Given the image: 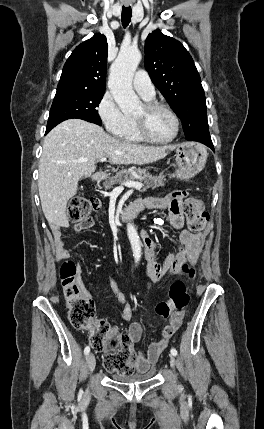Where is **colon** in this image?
<instances>
[{
    "label": "colon",
    "mask_w": 264,
    "mask_h": 429,
    "mask_svg": "<svg viewBox=\"0 0 264 429\" xmlns=\"http://www.w3.org/2000/svg\"><path fill=\"white\" fill-rule=\"evenodd\" d=\"M99 209L100 203L97 200L76 196L69 202L68 217L72 221H81L92 211ZM183 211L189 230L193 233L202 231L208 221V214L201 200L189 198L183 206ZM195 258V254H191L190 261H194ZM182 271L189 279L193 278L194 269L190 264H183ZM59 274L71 324L77 329L90 332V343L93 349L105 352L104 366L108 371L121 374L132 373L135 352L134 342L129 333L119 332L106 322L95 318L93 303L77 281V267L73 261L64 260ZM189 299L188 284L183 280H177L170 287L169 299L158 303L155 312L163 318L171 313L183 314Z\"/></svg>",
    "instance_id": "5ec220e1"
}]
</instances>
